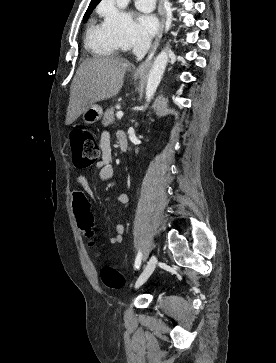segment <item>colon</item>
<instances>
[{
	"label": "colon",
	"mask_w": 276,
	"mask_h": 363,
	"mask_svg": "<svg viewBox=\"0 0 276 363\" xmlns=\"http://www.w3.org/2000/svg\"><path fill=\"white\" fill-rule=\"evenodd\" d=\"M73 161L79 168H87L97 162L99 146L94 134L84 128L75 129L70 134ZM93 224L88 218H79L78 225L82 230H87ZM103 283L111 288H122L125 284L124 276L111 266H104L100 272Z\"/></svg>",
	"instance_id": "colon-1"
}]
</instances>
